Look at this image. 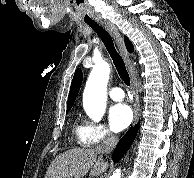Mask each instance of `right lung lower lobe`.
Listing matches in <instances>:
<instances>
[{"label": "right lung lower lobe", "mask_w": 194, "mask_h": 178, "mask_svg": "<svg viewBox=\"0 0 194 178\" xmlns=\"http://www.w3.org/2000/svg\"><path fill=\"white\" fill-rule=\"evenodd\" d=\"M138 128L139 123L135 127L130 128V130L120 139L112 155V159L115 163H117L130 148L137 135Z\"/></svg>", "instance_id": "1"}]
</instances>
